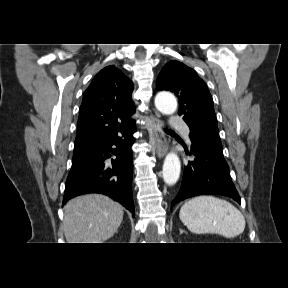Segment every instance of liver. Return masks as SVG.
I'll use <instances>...</instances> for the list:
<instances>
[{"label": "liver", "instance_id": "6515ba94", "mask_svg": "<svg viewBox=\"0 0 288 288\" xmlns=\"http://www.w3.org/2000/svg\"><path fill=\"white\" fill-rule=\"evenodd\" d=\"M64 234L68 243H103L123 220V207L107 196L88 194L64 206Z\"/></svg>", "mask_w": 288, "mask_h": 288}]
</instances>
